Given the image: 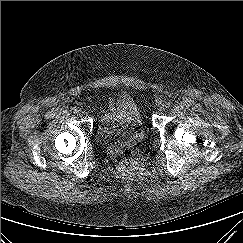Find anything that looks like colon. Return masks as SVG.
I'll return each mask as SVG.
<instances>
[{
    "label": "colon",
    "mask_w": 243,
    "mask_h": 243,
    "mask_svg": "<svg viewBox=\"0 0 243 243\" xmlns=\"http://www.w3.org/2000/svg\"><path fill=\"white\" fill-rule=\"evenodd\" d=\"M121 170L123 173L131 175L139 170L138 163L132 158H125L121 162Z\"/></svg>",
    "instance_id": "5ec220e1"
}]
</instances>
